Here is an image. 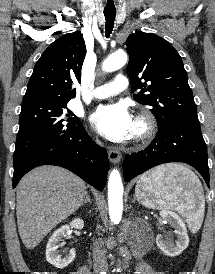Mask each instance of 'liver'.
<instances>
[{
	"instance_id": "1",
	"label": "liver",
	"mask_w": 215,
	"mask_h": 274,
	"mask_svg": "<svg viewBox=\"0 0 215 274\" xmlns=\"http://www.w3.org/2000/svg\"><path fill=\"white\" fill-rule=\"evenodd\" d=\"M85 182L66 169L41 166L26 174L17 187V225L20 238L34 249L59 223L82 205Z\"/></svg>"
}]
</instances>
